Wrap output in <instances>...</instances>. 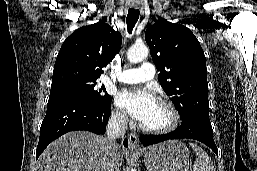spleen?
I'll return each instance as SVG.
<instances>
[{
    "label": "spleen",
    "instance_id": "1",
    "mask_svg": "<svg viewBox=\"0 0 257 171\" xmlns=\"http://www.w3.org/2000/svg\"><path fill=\"white\" fill-rule=\"evenodd\" d=\"M197 155V159L193 164L192 171H215L213 162L208 154L198 145L190 144Z\"/></svg>",
    "mask_w": 257,
    "mask_h": 171
}]
</instances>
